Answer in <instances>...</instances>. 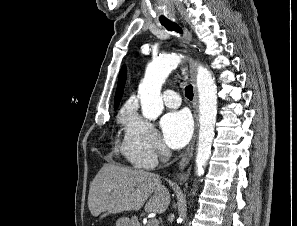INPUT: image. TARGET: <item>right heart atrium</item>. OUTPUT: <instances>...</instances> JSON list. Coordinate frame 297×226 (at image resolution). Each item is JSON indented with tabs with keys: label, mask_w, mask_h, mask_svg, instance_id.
<instances>
[{
	"label": "right heart atrium",
	"mask_w": 297,
	"mask_h": 226,
	"mask_svg": "<svg viewBox=\"0 0 297 226\" xmlns=\"http://www.w3.org/2000/svg\"><path fill=\"white\" fill-rule=\"evenodd\" d=\"M124 125L120 150L134 166L153 169L169 157L170 152L155 127L135 110L128 111Z\"/></svg>",
	"instance_id": "d8ad5b80"
}]
</instances>
